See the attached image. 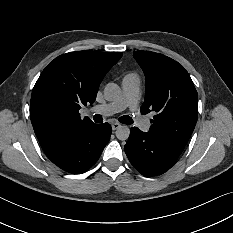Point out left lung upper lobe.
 Masks as SVG:
<instances>
[{"instance_id": "obj_1", "label": "left lung upper lobe", "mask_w": 233, "mask_h": 233, "mask_svg": "<svg viewBox=\"0 0 233 233\" xmlns=\"http://www.w3.org/2000/svg\"><path fill=\"white\" fill-rule=\"evenodd\" d=\"M146 77L141 113L155 111L149 135L186 145L197 122L198 94L188 72L159 53L135 51Z\"/></svg>"}]
</instances>
